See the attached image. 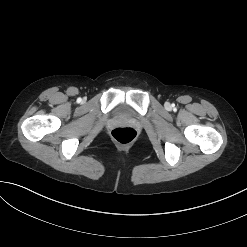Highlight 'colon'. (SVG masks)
<instances>
[{"mask_svg":"<svg viewBox=\"0 0 247 247\" xmlns=\"http://www.w3.org/2000/svg\"><path fill=\"white\" fill-rule=\"evenodd\" d=\"M112 138L121 144H129L136 139L137 132L131 127H118L112 130Z\"/></svg>","mask_w":247,"mask_h":247,"instance_id":"1","label":"colon"}]
</instances>
